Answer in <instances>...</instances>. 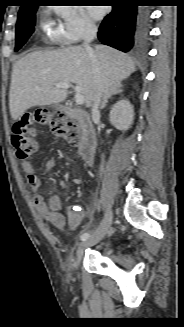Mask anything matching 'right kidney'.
<instances>
[{
    "label": "right kidney",
    "mask_w": 184,
    "mask_h": 327,
    "mask_svg": "<svg viewBox=\"0 0 184 327\" xmlns=\"http://www.w3.org/2000/svg\"><path fill=\"white\" fill-rule=\"evenodd\" d=\"M111 124L121 130L126 131L130 128L134 119L133 106L127 99H122L113 105L110 111Z\"/></svg>",
    "instance_id": "ca27d5eb"
}]
</instances>
